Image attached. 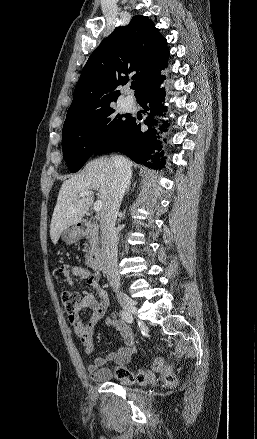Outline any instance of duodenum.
I'll return each instance as SVG.
<instances>
[{
  "instance_id": "duodenum-1",
  "label": "duodenum",
  "mask_w": 257,
  "mask_h": 439,
  "mask_svg": "<svg viewBox=\"0 0 257 439\" xmlns=\"http://www.w3.org/2000/svg\"><path fill=\"white\" fill-rule=\"evenodd\" d=\"M98 225L88 221H82L78 224V234L80 236L91 232L94 240L97 238ZM90 266L96 273L102 272L104 268V257L101 250H97L90 260Z\"/></svg>"
}]
</instances>
